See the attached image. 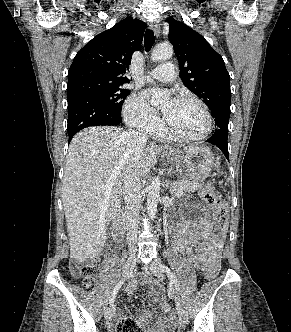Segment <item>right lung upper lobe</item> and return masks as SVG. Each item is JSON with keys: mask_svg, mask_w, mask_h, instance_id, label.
Wrapping results in <instances>:
<instances>
[{"mask_svg": "<svg viewBox=\"0 0 291 332\" xmlns=\"http://www.w3.org/2000/svg\"><path fill=\"white\" fill-rule=\"evenodd\" d=\"M147 25L130 17L94 37L75 56L68 71L67 98L83 92L122 86L134 51Z\"/></svg>", "mask_w": 291, "mask_h": 332, "instance_id": "obj_1", "label": "right lung upper lobe"}]
</instances>
